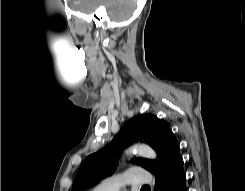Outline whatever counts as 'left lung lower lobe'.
I'll list each match as a JSON object with an SVG mask.
<instances>
[{"instance_id": "obj_1", "label": "left lung lower lobe", "mask_w": 245, "mask_h": 191, "mask_svg": "<svg viewBox=\"0 0 245 191\" xmlns=\"http://www.w3.org/2000/svg\"><path fill=\"white\" fill-rule=\"evenodd\" d=\"M183 164L180 148H178L171 159L154 173L156 176L155 191L158 189L159 181L162 191H187Z\"/></svg>"}]
</instances>
